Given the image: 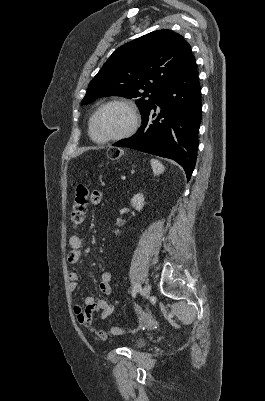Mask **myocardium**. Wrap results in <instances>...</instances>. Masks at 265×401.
<instances>
[{"instance_id": "myocardium-1", "label": "myocardium", "mask_w": 265, "mask_h": 401, "mask_svg": "<svg viewBox=\"0 0 265 401\" xmlns=\"http://www.w3.org/2000/svg\"><path fill=\"white\" fill-rule=\"evenodd\" d=\"M112 105H121V106H124L125 108H127L130 113V122L127 125V127L118 135L109 137L106 139H97L93 134V125L95 123V120L97 119L98 115L105 108L112 106ZM138 123H139V112H138L136 105L130 100L114 99V100H110V101H107L104 104H102L92 115V117L90 118V121H89V135H90L91 139L97 143H107V142H112V141H118V140L130 135L132 132H134L138 126Z\"/></svg>"}]
</instances>
